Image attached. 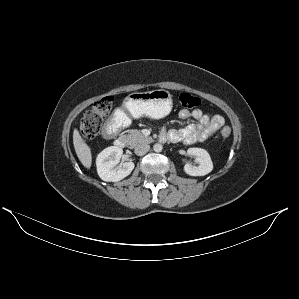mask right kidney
<instances>
[{"mask_svg":"<svg viewBox=\"0 0 299 299\" xmlns=\"http://www.w3.org/2000/svg\"><path fill=\"white\" fill-rule=\"evenodd\" d=\"M123 150L110 146L101 151L96 159L97 172L105 182H117L127 177L135 167L133 162H126L118 170L113 169L120 161Z\"/></svg>","mask_w":299,"mask_h":299,"instance_id":"1","label":"right kidney"}]
</instances>
